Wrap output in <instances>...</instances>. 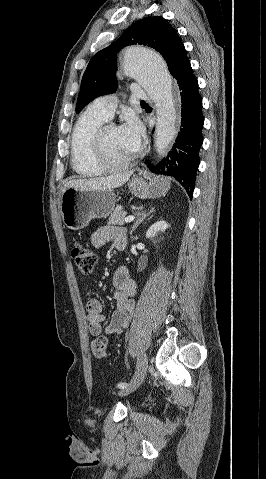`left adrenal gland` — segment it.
<instances>
[{"label": "left adrenal gland", "mask_w": 266, "mask_h": 479, "mask_svg": "<svg viewBox=\"0 0 266 479\" xmlns=\"http://www.w3.org/2000/svg\"><path fill=\"white\" fill-rule=\"evenodd\" d=\"M153 212H154V207H152L147 213L141 212L137 214L136 222L134 223L132 230L130 231L131 237H132V233L139 226V224H141Z\"/></svg>", "instance_id": "1"}]
</instances>
